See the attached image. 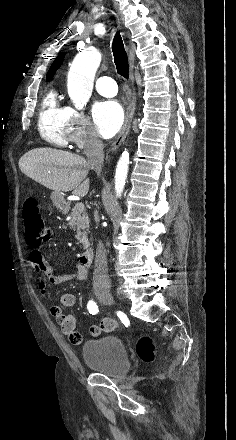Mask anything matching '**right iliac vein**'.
Returning <instances> with one entry per match:
<instances>
[{"instance_id": "right-iliac-vein-1", "label": "right iliac vein", "mask_w": 236, "mask_h": 440, "mask_svg": "<svg viewBox=\"0 0 236 440\" xmlns=\"http://www.w3.org/2000/svg\"><path fill=\"white\" fill-rule=\"evenodd\" d=\"M99 298L101 301L106 305H112L114 304V298L112 295L107 291H102L98 293Z\"/></svg>"}]
</instances>
